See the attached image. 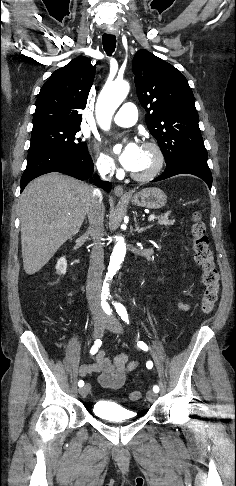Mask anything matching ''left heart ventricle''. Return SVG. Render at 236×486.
<instances>
[{
    "label": "left heart ventricle",
    "instance_id": "left-heart-ventricle-1",
    "mask_svg": "<svg viewBox=\"0 0 236 486\" xmlns=\"http://www.w3.org/2000/svg\"><path fill=\"white\" fill-rule=\"evenodd\" d=\"M155 163V155L153 151L146 148H141L140 156L133 172L146 173L151 170Z\"/></svg>",
    "mask_w": 236,
    "mask_h": 486
}]
</instances>
